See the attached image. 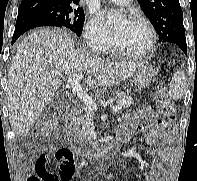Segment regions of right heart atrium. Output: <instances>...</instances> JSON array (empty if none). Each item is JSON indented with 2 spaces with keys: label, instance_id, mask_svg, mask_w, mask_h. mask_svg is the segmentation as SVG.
I'll return each mask as SVG.
<instances>
[{
  "label": "right heart atrium",
  "instance_id": "right-heart-atrium-1",
  "mask_svg": "<svg viewBox=\"0 0 197 181\" xmlns=\"http://www.w3.org/2000/svg\"><path fill=\"white\" fill-rule=\"evenodd\" d=\"M84 37L89 47L97 52L107 51L112 44L111 35L94 15L85 24Z\"/></svg>",
  "mask_w": 197,
  "mask_h": 181
}]
</instances>
